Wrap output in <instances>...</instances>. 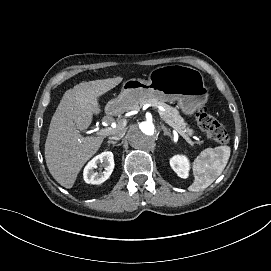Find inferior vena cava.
I'll return each mask as SVG.
<instances>
[{"label":"inferior vena cava","instance_id":"1","mask_svg":"<svg viewBox=\"0 0 271 271\" xmlns=\"http://www.w3.org/2000/svg\"><path fill=\"white\" fill-rule=\"evenodd\" d=\"M124 134L125 131L122 128H118L114 132H111V136H109V139L118 141L124 136Z\"/></svg>","mask_w":271,"mask_h":271}]
</instances>
